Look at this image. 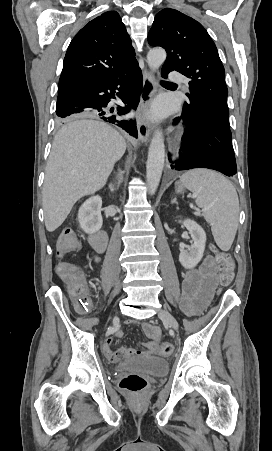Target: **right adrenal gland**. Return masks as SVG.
<instances>
[{"label": "right adrenal gland", "instance_id": "2a0ac1e0", "mask_svg": "<svg viewBox=\"0 0 272 451\" xmlns=\"http://www.w3.org/2000/svg\"><path fill=\"white\" fill-rule=\"evenodd\" d=\"M110 192H115V190H118V186H115V184H109Z\"/></svg>", "mask_w": 272, "mask_h": 451}]
</instances>
